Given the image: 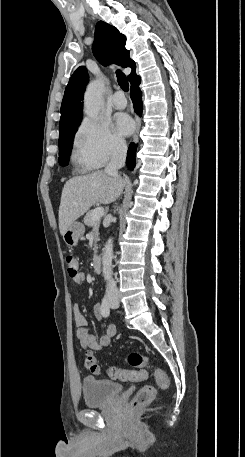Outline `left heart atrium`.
Listing matches in <instances>:
<instances>
[{
  "label": "left heart atrium",
  "instance_id": "39dd6f15",
  "mask_svg": "<svg viewBox=\"0 0 245 457\" xmlns=\"http://www.w3.org/2000/svg\"><path fill=\"white\" fill-rule=\"evenodd\" d=\"M116 128L122 135H129L134 129L133 121L125 114H118L115 118Z\"/></svg>",
  "mask_w": 245,
  "mask_h": 457
}]
</instances>
